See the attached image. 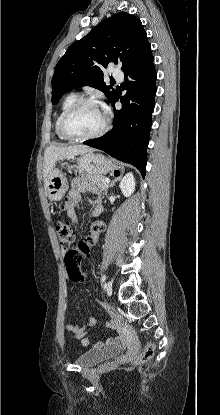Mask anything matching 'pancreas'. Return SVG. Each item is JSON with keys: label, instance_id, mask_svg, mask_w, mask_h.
I'll return each mask as SVG.
<instances>
[{"label": "pancreas", "instance_id": "cf45deb5", "mask_svg": "<svg viewBox=\"0 0 220 415\" xmlns=\"http://www.w3.org/2000/svg\"><path fill=\"white\" fill-rule=\"evenodd\" d=\"M106 179L105 176H95V175H88L87 180L91 184V188L93 190H100V191H107L109 185L104 182Z\"/></svg>", "mask_w": 220, "mask_h": 415}]
</instances>
